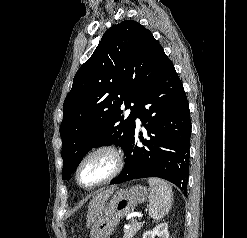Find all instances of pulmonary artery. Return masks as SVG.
<instances>
[{
  "label": "pulmonary artery",
  "instance_id": "pulmonary-artery-1",
  "mask_svg": "<svg viewBox=\"0 0 247 238\" xmlns=\"http://www.w3.org/2000/svg\"><path fill=\"white\" fill-rule=\"evenodd\" d=\"M136 123H137L138 125H140V124H141V120H140V118H139V117H137V116H136Z\"/></svg>",
  "mask_w": 247,
  "mask_h": 238
}]
</instances>
